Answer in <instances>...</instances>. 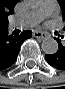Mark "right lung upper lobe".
Masks as SVG:
<instances>
[{
	"instance_id": "obj_1",
	"label": "right lung upper lobe",
	"mask_w": 65,
	"mask_h": 89,
	"mask_svg": "<svg viewBox=\"0 0 65 89\" xmlns=\"http://www.w3.org/2000/svg\"><path fill=\"white\" fill-rule=\"evenodd\" d=\"M18 0H0V28L8 26V16L13 13Z\"/></svg>"
}]
</instances>
